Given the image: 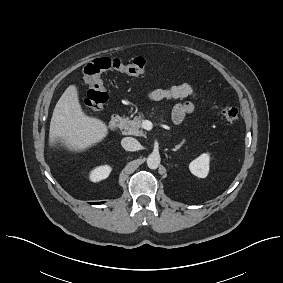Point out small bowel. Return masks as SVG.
Returning a JSON list of instances; mask_svg holds the SVG:
<instances>
[{
    "label": "small bowel",
    "mask_w": 283,
    "mask_h": 283,
    "mask_svg": "<svg viewBox=\"0 0 283 283\" xmlns=\"http://www.w3.org/2000/svg\"><path fill=\"white\" fill-rule=\"evenodd\" d=\"M194 96L195 92L193 88L186 83L174 85L166 89H154L148 94L149 99L152 101L180 99ZM194 110L195 106L191 101L177 104L172 111V122L176 125L180 124L184 120L185 116L193 113Z\"/></svg>",
    "instance_id": "1"
}]
</instances>
